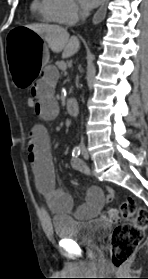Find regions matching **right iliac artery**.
Segmentation results:
<instances>
[{"mask_svg": "<svg viewBox=\"0 0 148 279\" xmlns=\"http://www.w3.org/2000/svg\"><path fill=\"white\" fill-rule=\"evenodd\" d=\"M81 149L80 147H75L72 151V156L73 157H78L80 155Z\"/></svg>", "mask_w": 148, "mask_h": 279, "instance_id": "82829eb1", "label": "right iliac artery"}]
</instances>
